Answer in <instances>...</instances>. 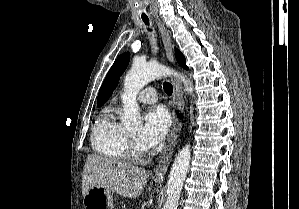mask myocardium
<instances>
[{
  "label": "myocardium",
  "instance_id": "1",
  "mask_svg": "<svg viewBox=\"0 0 299 209\" xmlns=\"http://www.w3.org/2000/svg\"><path fill=\"white\" fill-rule=\"evenodd\" d=\"M126 153L128 158H130L134 162L144 161L148 156L147 150L140 148V146L130 134H127Z\"/></svg>",
  "mask_w": 299,
  "mask_h": 209
}]
</instances>
